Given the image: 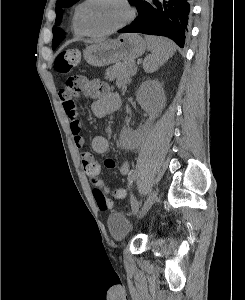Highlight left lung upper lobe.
I'll use <instances>...</instances> for the list:
<instances>
[{"mask_svg": "<svg viewBox=\"0 0 245 300\" xmlns=\"http://www.w3.org/2000/svg\"><path fill=\"white\" fill-rule=\"evenodd\" d=\"M79 0H57L56 2V25H59L61 20H62V16H63V7H70L73 4H75L76 2H78ZM134 0H129V2L132 4ZM65 37V33L61 28L58 27H53V41H52V48L55 49L59 43L64 39Z\"/></svg>", "mask_w": 245, "mask_h": 300, "instance_id": "obj_1", "label": "left lung upper lobe"}]
</instances>
